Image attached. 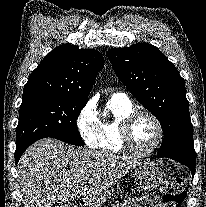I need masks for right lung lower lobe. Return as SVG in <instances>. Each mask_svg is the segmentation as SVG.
Instances as JSON below:
<instances>
[{"mask_svg":"<svg viewBox=\"0 0 206 207\" xmlns=\"http://www.w3.org/2000/svg\"><path fill=\"white\" fill-rule=\"evenodd\" d=\"M26 149H20V150H16L15 151V163L17 164L21 155L23 154V152L25 151Z\"/></svg>","mask_w":206,"mask_h":207,"instance_id":"obj_1","label":"right lung lower lobe"}]
</instances>
